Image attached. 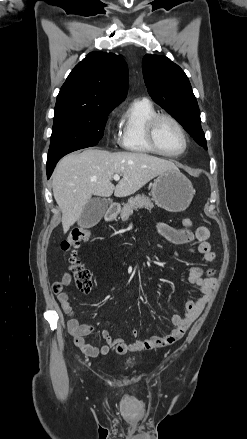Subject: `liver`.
I'll use <instances>...</instances> for the list:
<instances>
[{"label": "liver", "instance_id": "6515ba94", "mask_svg": "<svg viewBox=\"0 0 247 439\" xmlns=\"http://www.w3.org/2000/svg\"><path fill=\"white\" fill-rule=\"evenodd\" d=\"M172 169H178L173 162L144 153L86 149L63 157L54 170L52 188L64 233L80 218L92 195L110 197L114 192L126 197ZM115 174L122 176L116 186L111 183Z\"/></svg>", "mask_w": 247, "mask_h": 439}]
</instances>
